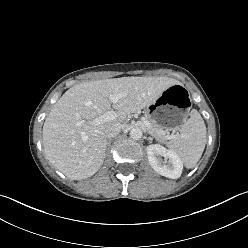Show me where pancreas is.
<instances>
[{
	"label": "pancreas",
	"mask_w": 248,
	"mask_h": 248,
	"mask_svg": "<svg viewBox=\"0 0 248 248\" xmlns=\"http://www.w3.org/2000/svg\"><path fill=\"white\" fill-rule=\"evenodd\" d=\"M150 125L147 128L149 134L157 139H167V132L154 122L149 121Z\"/></svg>",
	"instance_id": "cf45deb5"
}]
</instances>
